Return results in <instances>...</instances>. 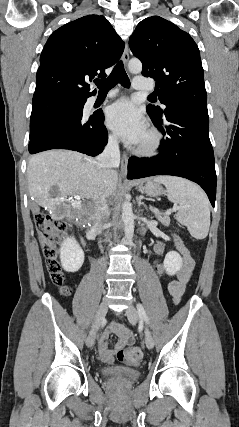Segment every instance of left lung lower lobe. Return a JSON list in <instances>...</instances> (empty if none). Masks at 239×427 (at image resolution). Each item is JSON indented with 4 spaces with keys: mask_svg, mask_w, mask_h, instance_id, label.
Wrapping results in <instances>:
<instances>
[{
    "mask_svg": "<svg viewBox=\"0 0 239 427\" xmlns=\"http://www.w3.org/2000/svg\"><path fill=\"white\" fill-rule=\"evenodd\" d=\"M165 139L160 153L153 158L131 157L128 178L138 179L154 175H173L199 184L215 206L216 172L213 148L209 139L208 115L169 109L163 118L148 113Z\"/></svg>",
    "mask_w": 239,
    "mask_h": 427,
    "instance_id": "1",
    "label": "left lung lower lobe"
}]
</instances>
